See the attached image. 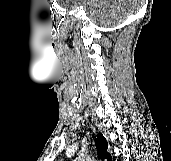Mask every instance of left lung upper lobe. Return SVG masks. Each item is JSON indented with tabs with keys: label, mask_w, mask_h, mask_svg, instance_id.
I'll use <instances>...</instances> for the list:
<instances>
[{
	"label": "left lung upper lobe",
	"mask_w": 171,
	"mask_h": 161,
	"mask_svg": "<svg viewBox=\"0 0 171 161\" xmlns=\"http://www.w3.org/2000/svg\"><path fill=\"white\" fill-rule=\"evenodd\" d=\"M96 148L100 159L107 158L108 161H112L111 155L107 152L108 143L101 133L97 135Z\"/></svg>",
	"instance_id": "obj_1"
}]
</instances>
